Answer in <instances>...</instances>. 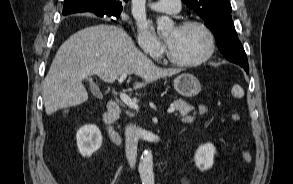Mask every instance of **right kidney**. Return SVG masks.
Wrapping results in <instances>:
<instances>
[{"label":"right kidney","instance_id":"obj_1","mask_svg":"<svg viewBox=\"0 0 293 184\" xmlns=\"http://www.w3.org/2000/svg\"><path fill=\"white\" fill-rule=\"evenodd\" d=\"M102 134L96 125H85L77 134V147L83 157H90L102 145Z\"/></svg>","mask_w":293,"mask_h":184}]
</instances>
